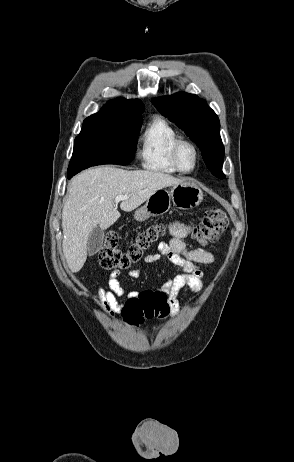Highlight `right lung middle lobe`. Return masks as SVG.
I'll use <instances>...</instances> for the list:
<instances>
[{
    "label": "right lung middle lobe",
    "instance_id": "1",
    "mask_svg": "<svg viewBox=\"0 0 294 462\" xmlns=\"http://www.w3.org/2000/svg\"><path fill=\"white\" fill-rule=\"evenodd\" d=\"M142 117L94 114L83 122L74 142L68 175L101 164L126 165L134 158Z\"/></svg>",
    "mask_w": 294,
    "mask_h": 462
}]
</instances>
